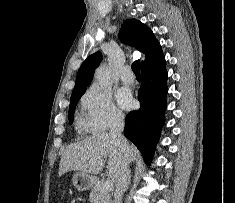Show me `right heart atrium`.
Segmentation results:
<instances>
[{
	"label": "right heart atrium",
	"instance_id": "d8ad5b80",
	"mask_svg": "<svg viewBox=\"0 0 235 203\" xmlns=\"http://www.w3.org/2000/svg\"><path fill=\"white\" fill-rule=\"evenodd\" d=\"M81 109L84 126L91 132H103L119 124L124 116L112 100L111 93L94 84L83 94Z\"/></svg>",
	"mask_w": 235,
	"mask_h": 203
}]
</instances>
